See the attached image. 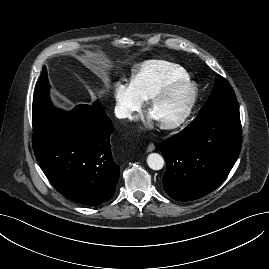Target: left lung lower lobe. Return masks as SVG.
Segmentation results:
<instances>
[{
	"mask_svg": "<svg viewBox=\"0 0 269 269\" xmlns=\"http://www.w3.org/2000/svg\"><path fill=\"white\" fill-rule=\"evenodd\" d=\"M241 144L238 107L199 113L180 133L160 145L167 164L165 192L177 201L199 199L212 192L229 174Z\"/></svg>",
	"mask_w": 269,
	"mask_h": 269,
	"instance_id": "obj_1",
	"label": "left lung lower lobe"
}]
</instances>
